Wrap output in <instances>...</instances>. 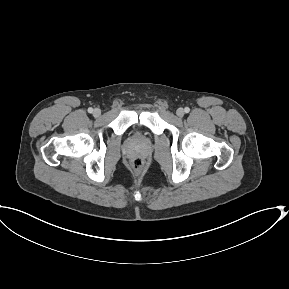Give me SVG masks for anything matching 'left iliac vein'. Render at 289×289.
Segmentation results:
<instances>
[{"instance_id": "obj_1", "label": "left iliac vein", "mask_w": 289, "mask_h": 289, "mask_svg": "<svg viewBox=\"0 0 289 289\" xmlns=\"http://www.w3.org/2000/svg\"><path fill=\"white\" fill-rule=\"evenodd\" d=\"M184 110L182 108L177 109L176 114L178 117H183L184 116Z\"/></svg>"}]
</instances>
